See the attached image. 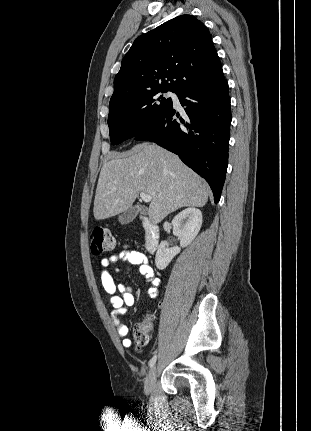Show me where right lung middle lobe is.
I'll list each match as a JSON object with an SVG mask.
<instances>
[{
    "instance_id": "dd1d6c3e",
    "label": "right lung middle lobe",
    "mask_w": 311,
    "mask_h": 431,
    "mask_svg": "<svg viewBox=\"0 0 311 431\" xmlns=\"http://www.w3.org/2000/svg\"><path fill=\"white\" fill-rule=\"evenodd\" d=\"M163 90L144 91L110 100L108 126L112 144H120L136 136L172 105Z\"/></svg>"
}]
</instances>
